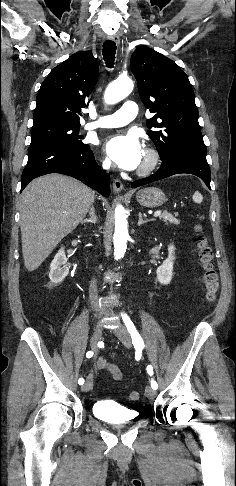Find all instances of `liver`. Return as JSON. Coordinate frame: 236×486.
<instances>
[{
	"instance_id": "6515ba94",
	"label": "liver",
	"mask_w": 236,
	"mask_h": 486,
	"mask_svg": "<svg viewBox=\"0 0 236 486\" xmlns=\"http://www.w3.org/2000/svg\"><path fill=\"white\" fill-rule=\"evenodd\" d=\"M95 192L61 174L33 180L20 202L24 265L37 269L58 243L83 220L94 202Z\"/></svg>"
}]
</instances>
